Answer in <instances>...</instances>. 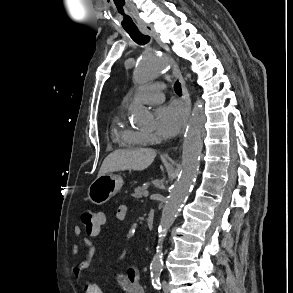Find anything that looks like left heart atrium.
<instances>
[{"mask_svg":"<svg viewBox=\"0 0 293 293\" xmlns=\"http://www.w3.org/2000/svg\"><path fill=\"white\" fill-rule=\"evenodd\" d=\"M156 131L164 138L173 137L180 129L186 117L185 108L178 102L172 101L160 106L155 113Z\"/></svg>","mask_w":293,"mask_h":293,"instance_id":"obj_1","label":"left heart atrium"}]
</instances>
